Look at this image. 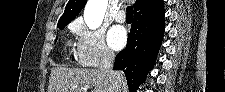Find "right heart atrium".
Masks as SVG:
<instances>
[{
  "label": "right heart atrium",
  "mask_w": 225,
  "mask_h": 92,
  "mask_svg": "<svg viewBox=\"0 0 225 92\" xmlns=\"http://www.w3.org/2000/svg\"><path fill=\"white\" fill-rule=\"evenodd\" d=\"M71 31L75 36V58L81 66H98L112 57L102 28H90L82 19H78L72 24Z\"/></svg>",
  "instance_id": "obj_1"
}]
</instances>
